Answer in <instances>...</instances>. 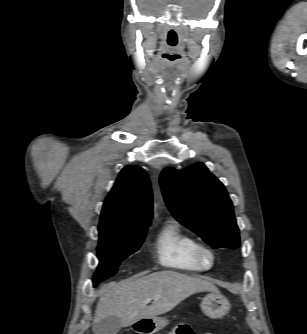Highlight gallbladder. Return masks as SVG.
Segmentation results:
<instances>
[{"label": "gallbladder", "instance_id": "bac80fb5", "mask_svg": "<svg viewBox=\"0 0 307 334\" xmlns=\"http://www.w3.org/2000/svg\"><path fill=\"white\" fill-rule=\"evenodd\" d=\"M121 328V319L116 316H109L96 323L93 331L94 334H117Z\"/></svg>", "mask_w": 307, "mask_h": 334}]
</instances>
